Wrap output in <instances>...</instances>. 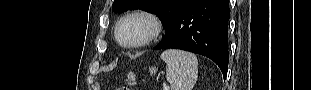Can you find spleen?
<instances>
[{
	"mask_svg": "<svg viewBox=\"0 0 311 90\" xmlns=\"http://www.w3.org/2000/svg\"><path fill=\"white\" fill-rule=\"evenodd\" d=\"M166 63V79L171 90H192L198 77L197 57L186 51L169 49L161 54Z\"/></svg>",
	"mask_w": 311,
	"mask_h": 90,
	"instance_id": "spleen-1",
	"label": "spleen"
}]
</instances>
